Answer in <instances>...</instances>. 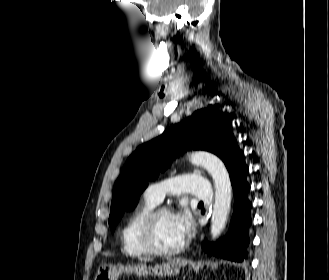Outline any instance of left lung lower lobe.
I'll list each match as a JSON object with an SVG mask.
<instances>
[{"label":"left lung lower lobe","mask_w":329,"mask_h":280,"mask_svg":"<svg viewBox=\"0 0 329 280\" xmlns=\"http://www.w3.org/2000/svg\"><path fill=\"white\" fill-rule=\"evenodd\" d=\"M249 172L244 156L238 167L232 170L230 179L234 191V213L228 234L216 243L205 244L204 248L210 255L241 262L247 258L246 248L249 244V227L251 225V203L247 198L250 185L246 176Z\"/></svg>","instance_id":"obj_1"}]
</instances>
